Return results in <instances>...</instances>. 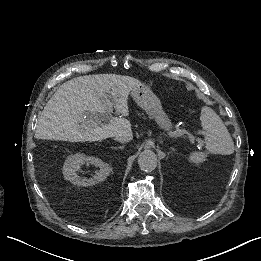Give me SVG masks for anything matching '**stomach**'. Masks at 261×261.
Listing matches in <instances>:
<instances>
[{"mask_svg": "<svg viewBox=\"0 0 261 261\" xmlns=\"http://www.w3.org/2000/svg\"><path fill=\"white\" fill-rule=\"evenodd\" d=\"M131 95L134 101L147 112L148 115L155 119L161 129L171 130L173 124L167 114L163 111L160 99L152 90L141 84L132 89Z\"/></svg>", "mask_w": 261, "mask_h": 261, "instance_id": "1", "label": "stomach"}]
</instances>
